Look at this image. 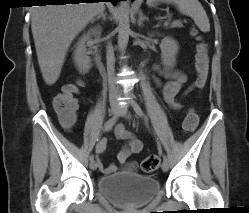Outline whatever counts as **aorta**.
I'll return each mask as SVG.
<instances>
[{"instance_id": "1", "label": "aorta", "mask_w": 249, "mask_h": 213, "mask_svg": "<svg viewBox=\"0 0 249 213\" xmlns=\"http://www.w3.org/2000/svg\"><path fill=\"white\" fill-rule=\"evenodd\" d=\"M130 5L128 1H122L119 5V18H118V47L123 51L129 41L130 20H129Z\"/></svg>"}]
</instances>
